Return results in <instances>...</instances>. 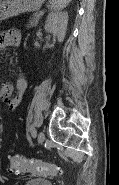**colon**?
Masks as SVG:
<instances>
[{"mask_svg": "<svg viewBox=\"0 0 119 185\" xmlns=\"http://www.w3.org/2000/svg\"><path fill=\"white\" fill-rule=\"evenodd\" d=\"M9 170L15 173H31L41 176H55L59 174V168L53 163L36 159H25L17 154L9 158Z\"/></svg>", "mask_w": 119, "mask_h": 185, "instance_id": "5ec220e1", "label": "colon"}]
</instances>
